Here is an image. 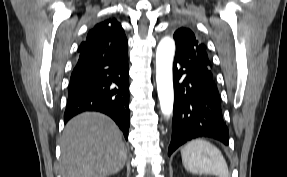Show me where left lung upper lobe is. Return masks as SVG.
<instances>
[{"label":"left lung upper lobe","mask_w":287,"mask_h":177,"mask_svg":"<svg viewBox=\"0 0 287 177\" xmlns=\"http://www.w3.org/2000/svg\"><path fill=\"white\" fill-rule=\"evenodd\" d=\"M173 37L176 43V55L196 67L201 73L207 74L210 80H214L206 46L195 38L194 33L190 29L180 28Z\"/></svg>","instance_id":"1"}]
</instances>
